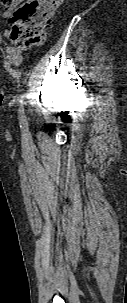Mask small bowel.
I'll return each instance as SVG.
<instances>
[{
	"label": "small bowel",
	"instance_id": "1",
	"mask_svg": "<svg viewBox=\"0 0 127 303\" xmlns=\"http://www.w3.org/2000/svg\"><path fill=\"white\" fill-rule=\"evenodd\" d=\"M21 0H15V4L19 3ZM11 14V8L7 9L3 14V18L7 19L10 17ZM4 37H8L10 35V32L8 29H4L3 31ZM6 53L8 56V59L15 65L18 66L22 61V52L21 50L8 46L6 47Z\"/></svg>",
	"mask_w": 127,
	"mask_h": 303
}]
</instances>
